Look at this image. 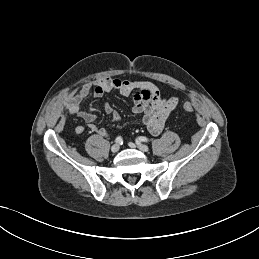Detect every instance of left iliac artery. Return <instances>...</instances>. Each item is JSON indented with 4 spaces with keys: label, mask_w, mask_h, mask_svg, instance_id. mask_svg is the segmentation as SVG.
<instances>
[{
    "label": "left iliac artery",
    "mask_w": 259,
    "mask_h": 259,
    "mask_svg": "<svg viewBox=\"0 0 259 259\" xmlns=\"http://www.w3.org/2000/svg\"><path fill=\"white\" fill-rule=\"evenodd\" d=\"M138 140H139V141H142V142H148V141H149V140H148L146 137H144V136L138 137Z\"/></svg>",
    "instance_id": "44dca946"
}]
</instances>
